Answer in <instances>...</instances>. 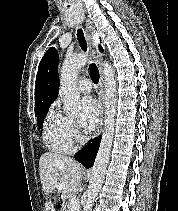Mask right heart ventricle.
I'll use <instances>...</instances> for the list:
<instances>
[{
    "label": "right heart ventricle",
    "instance_id": "obj_1",
    "mask_svg": "<svg viewBox=\"0 0 178 211\" xmlns=\"http://www.w3.org/2000/svg\"><path fill=\"white\" fill-rule=\"evenodd\" d=\"M43 139L46 146L58 153L68 152L72 148V143L64 132V117L52 112L45 124Z\"/></svg>",
    "mask_w": 178,
    "mask_h": 211
}]
</instances>
